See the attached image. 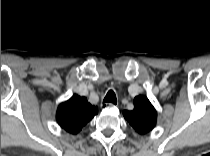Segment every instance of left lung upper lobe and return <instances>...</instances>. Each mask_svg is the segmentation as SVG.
Here are the masks:
<instances>
[{
  "mask_svg": "<svg viewBox=\"0 0 210 156\" xmlns=\"http://www.w3.org/2000/svg\"><path fill=\"white\" fill-rule=\"evenodd\" d=\"M123 115L139 134L150 132L156 125L157 112L148 98L143 95L135 97L134 109L125 110Z\"/></svg>",
  "mask_w": 210,
  "mask_h": 156,
  "instance_id": "obj_1",
  "label": "left lung upper lobe"
}]
</instances>
